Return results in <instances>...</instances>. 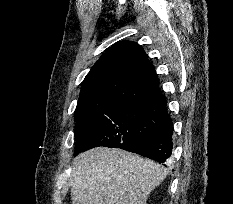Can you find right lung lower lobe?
<instances>
[{
  "label": "right lung lower lobe",
  "instance_id": "right-lung-lower-lobe-1",
  "mask_svg": "<svg viewBox=\"0 0 233 204\" xmlns=\"http://www.w3.org/2000/svg\"><path fill=\"white\" fill-rule=\"evenodd\" d=\"M152 104L166 120V126L148 136H143L129 142L121 143L117 148L137 153L163 163L170 157L172 151V121L167 114L166 99L162 94L153 99ZM90 148L93 147L89 145H81L75 149V155Z\"/></svg>",
  "mask_w": 233,
  "mask_h": 204
}]
</instances>
